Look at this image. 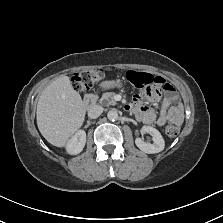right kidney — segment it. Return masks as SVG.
<instances>
[{"instance_id":"right-kidney-1","label":"right kidney","mask_w":223,"mask_h":223,"mask_svg":"<svg viewBox=\"0 0 223 223\" xmlns=\"http://www.w3.org/2000/svg\"><path fill=\"white\" fill-rule=\"evenodd\" d=\"M86 143V132L83 129H78L66 141L65 151L69 155H77L82 152Z\"/></svg>"}]
</instances>
